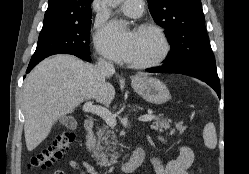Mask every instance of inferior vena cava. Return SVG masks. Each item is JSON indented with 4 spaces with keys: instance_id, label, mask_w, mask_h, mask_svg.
<instances>
[{
    "instance_id": "1",
    "label": "inferior vena cava",
    "mask_w": 249,
    "mask_h": 174,
    "mask_svg": "<svg viewBox=\"0 0 249 174\" xmlns=\"http://www.w3.org/2000/svg\"><path fill=\"white\" fill-rule=\"evenodd\" d=\"M97 69L104 77L111 76L115 72L113 64L105 61L104 59L98 60Z\"/></svg>"
}]
</instances>
